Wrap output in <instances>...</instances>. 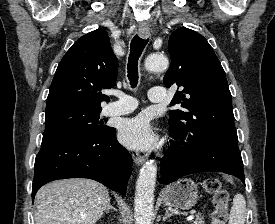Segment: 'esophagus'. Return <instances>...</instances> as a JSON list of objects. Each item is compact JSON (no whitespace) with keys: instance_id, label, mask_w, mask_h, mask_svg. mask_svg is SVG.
<instances>
[{"instance_id":"esophagus-1","label":"esophagus","mask_w":275,"mask_h":224,"mask_svg":"<svg viewBox=\"0 0 275 224\" xmlns=\"http://www.w3.org/2000/svg\"><path fill=\"white\" fill-rule=\"evenodd\" d=\"M138 33L143 39H148L150 37V30L146 22L140 23ZM132 157L137 165H141L145 161V157L138 152L133 153Z\"/></svg>"}]
</instances>
